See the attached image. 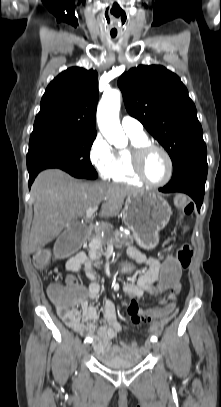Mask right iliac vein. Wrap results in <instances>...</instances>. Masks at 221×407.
I'll return each mask as SVG.
<instances>
[{
  "label": "right iliac vein",
  "instance_id": "right-iliac-vein-1",
  "mask_svg": "<svg viewBox=\"0 0 221 407\" xmlns=\"http://www.w3.org/2000/svg\"><path fill=\"white\" fill-rule=\"evenodd\" d=\"M88 352H89V344L87 343V344H84V345H83V347H82V353H83L84 356H87V355H88Z\"/></svg>",
  "mask_w": 221,
  "mask_h": 407
}]
</instances>
